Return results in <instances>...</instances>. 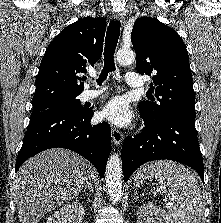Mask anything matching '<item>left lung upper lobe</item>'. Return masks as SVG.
I'll return each mask as SVG.
<instances>
[{
    "label": "left lung upper lobe",
    "instance_id": "obj_1",
    "mask_svg": "<svg viewBox=\"0 0 221 223\" xmlns=\"http://www.w3.org/2000/svg\"><path fill=\"white\" fill-rule=\"evenodd\" d=\"M131 41L140 74H153L151 90L156 101H142L139 111L150 120L173 114L195 117V93L188 52L180 36L155 18L136 19Z\"/></svg>",
    "mask_w": 221,
    "mask_h": 223
}]
</instances>
